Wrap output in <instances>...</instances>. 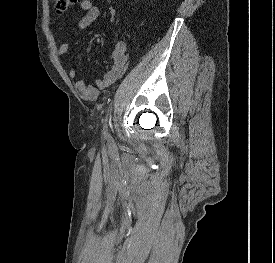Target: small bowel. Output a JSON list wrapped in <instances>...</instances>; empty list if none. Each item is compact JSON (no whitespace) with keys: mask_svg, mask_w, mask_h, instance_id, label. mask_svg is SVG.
<instances>
[{"mask_svg":"<svg viewBox=\"0 0 275 263\" xmlns=\"http://www.w3.org/2000/svg\"><path fill=\"white\" fill-rule=\"evenodd\" d=\"M79 11L84 12L83 17L78 21L77 26L80 29L89 27L100 15V9L94 5L91 0H82L78 6ZM126 44L119 41L115 44L113 50L109 55L110 70L99 79L94 80L93 85L87 84L84 80H75L77 70L71 67L68 70L70 79L75 80L74 85L78 92L84 98L95 101L98 99L100 92L112 87L121 77L126 64ZM70 50L68 42L62 43L58 50L57 55L63 56Z\"/></svg>","mask_w":275,"mask_h":263,"instance_id":"c3829d8e","label":"small bowel"}]
</instances>
